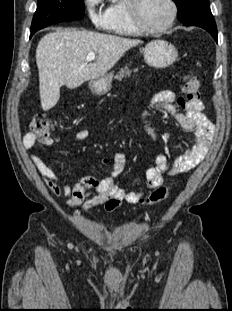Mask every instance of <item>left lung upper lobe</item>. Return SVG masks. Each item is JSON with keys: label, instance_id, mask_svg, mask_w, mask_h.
<instances>
[{"label": "left lung upper lobe", "instance_id": "left-lung-upper-lobe-1", "mask_svg": "<svg viewBox=\"0 0 232 311\" xmlns=\"http://www.w3.org/2000/svg\"><path fill=\"white\" fill-rule=\"evenodd\" d=\"M178 8V19L195 13L201 8L209 5V0H173Z\"/></svg>", "mask_w": 232, "mask_h": 311}]
</instances>
